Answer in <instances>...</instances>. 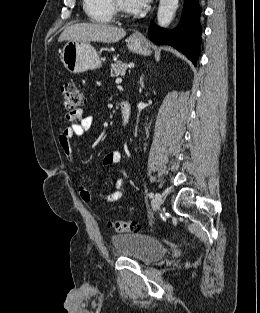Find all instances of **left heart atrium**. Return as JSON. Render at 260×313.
<instances>
[{
	"label": "left heart atrium",
	"instance_id": "left-heart-atrium-1",
	"mask_svg": "<svg viewBox=\"0 0 260 313\" xmlns=\"http://www.w3.org/2000/svg\"><path fill=\"white\" fill-rule=\"evenodd\" d=\"M150 2L151 0H124L127 9L137 13L143 11Z\"/></svg>",
	"mask_w": 260,
	"mask_h": 313
}]
</instances>
